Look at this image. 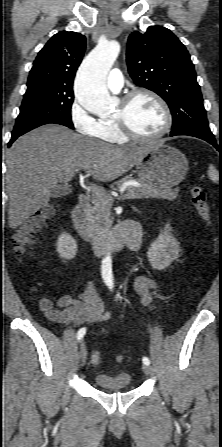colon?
<instances>
[{"mask_svg":"<svg viewBox=\"0 0 222 447\" xmlns=\"http://www.w3.org/2000/svg\"><path fill=\"white\" fill-rule=\"evenodd\" d=\"M190 196L200 218L207 225H210L211 209L204 190L200 186L195 185L190 190ZM54 214L55 208L53 206H47L38 211L20 226L13 237L14 252L17 255H22L26 251L27 247L34 242L35 235L47 224ZM91 360L93 363H99L101 361L100 354L94 352L91 356Z\"/></svg>","mask_w":222,"mask_h":447,"instance_id":"5ec220e1","label":"colon"}]
</instances>
